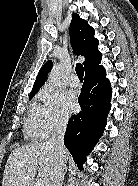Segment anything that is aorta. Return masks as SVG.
Instances as JSON below:
<instances>
[{
    "label": "aorta",
    "instance_id": "1",
    "mask_svg": "<svg viewBox=\"0 0 138 186\" xmlns=\"http://www.w3.org/2000/svg\"><path fill=\"white\" fill-rule=\"evenodd\" d=\"M61 70L62 66L60 64H54L49 75H48V83L50 88L57 89L61 86Z\"/></svg>",
    "mask_w": 138,
    "mask_h": 186
}]
</instances>
